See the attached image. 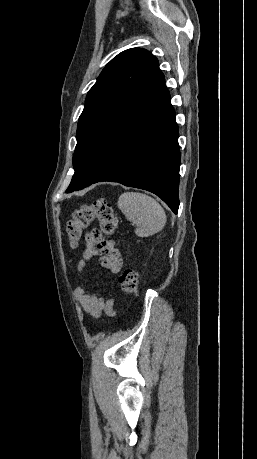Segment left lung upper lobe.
Instances as JSON below:
<instances>
[{"label":"left lung upper lobe","mask_w":257,"mask_h":459,"mask_svg":"<svg viewBox=\"0 0 257 459\" xmlns=\"http://www.w3.org/2000/svg\"><path fill=\"white\" fill-rule=\"evenodd\" d=\"M159 71L158 60L141 48L125 50L105 66L89 90L79 117L75 173L67 193L94 181L105 158L108 135Z\"/></svg>","instance_id":"1"}]
</instances>
